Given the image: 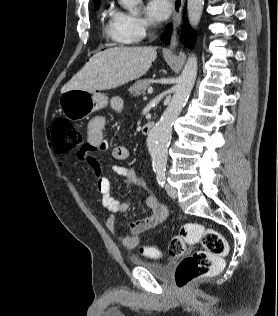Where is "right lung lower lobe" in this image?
<instances>
[{"label":"right lung lower lobe","mask_w":278,"mask_h":316,"mask_svg":"<svg viewBox=\"0 0 278 316\" xmlns=\"http://www.w3.org/2000/svg\"><path fill=\"white\" fill-rule=\"evenodd\" d=\"M171 34V26H169L163 34L162 40L164 43L168 44Z\"/></svg>","instance_id":"1"}]
</instances>
